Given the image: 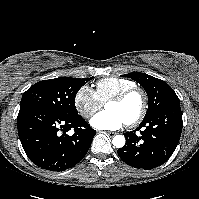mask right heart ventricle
<instances>
[{"label":"right heart ventricle","mask_w":199,"mask_h":199,"mask_svg":"<svg viewBox=\"0 0 199 199\" xmlns=\"http://www.w3.org/2000/svg\"><path fill=\"white\" fill-rule=\"evenodd\" d=\"M135 86V82L126 78L107 77L96 83L95 93L100 101L105 103L122 91Z\"/></svg>","instance_id":"e07e8e85"}]
</instances>
